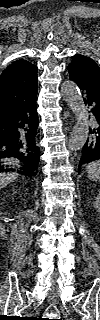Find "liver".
<instances>
[{
	"label": "liver",
	"mask_w": 100,
	"mask_h": 320,
	"mask_svg": "<svg viewBox=\"0 0 100 320\" xmlns=\"http://www.w3.org/2000/svg\"><path fill=\"white\" fill-rule=\"evenodd\" d=\"M4 163L10 166H18L19 161L13 158H7L3 160ZM17 178V173L9 172V173H1L0 174V187L3 188L13 180Z\"/></svg>",
	"instance_id": "liver-1"
}]
</instances>
